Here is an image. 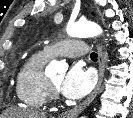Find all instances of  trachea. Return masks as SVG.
Listing matches in <instances>:
<instances>
[{"label":"trachea","instance_id":"obj_1","mask_svg":"<svg viewBox=\"0 0 133 118\" xmlns=\"http://www.w3.org/2000/svg\"><path fill=\"white\" fill-rule=\"evenodd\" d=\"M97 53H95V52H92L91 54H90V58L93 60V61H97Z\"/></svg>","mask_w":133,"mask_h":118}]
</instances>
